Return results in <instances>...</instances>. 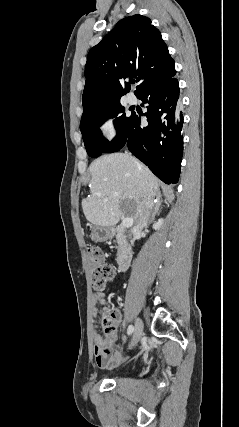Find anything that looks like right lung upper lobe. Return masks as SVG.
I'll use <instances>...</instances> for the list:
<instances>
[{
    "instance_id": "1",
    "label": "right lung upper lobe",
    "mask_w": 239,
    "mask_h": 427,
    "mask_svg": "<svg viewBox=\"0 0 239 427\" xmlns=\"http://www.w3.org/2000/svg\"><path fill=\"white\" fill-rule=\"evenodd\" d=\"M174 65L160 31L149 18L137 14L120 20L88 53L82 116L97 106L119 102L129 91L126 79L139 82L138 96L175 72Z\"/></svg>"
}]
</instances>
